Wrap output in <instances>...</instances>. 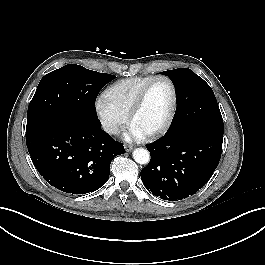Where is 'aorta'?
Listing matches in <instances>:
<instances>
[{
    "label": "aorta",
    "mask_w": 265,
    "mask_h": 265,
    "mask_svg": "<svg viewBox=\"0 0 265 265\" xmlns=\"http://www.w3.org/2000/svg\"><path fill=\"white\" fill-rule=\"evenodd\" d=\"M133 158L139 164H147L150 160V154L144 148H136L133 151Z\"/></svg>",
    "instance_id": "1"
}]
</instances>
